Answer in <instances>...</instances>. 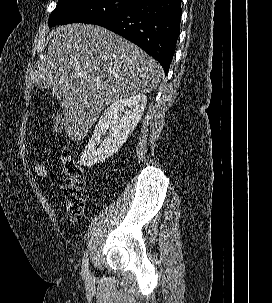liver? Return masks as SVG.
<instances>
[{"label":"liver","instance_id":"6515ba94","mask_svg":"<svg viewBox=\"0 0 272 303\" xmlns=\"http://www.w3.org/2000/svg\"><path fill=\"white\" fill-rule=\"evenodd\" d=\"M47 56L36 64L34 82L50 88L64 113V129L80 141L114 101L151 92L162 66L123 37L92 24L56 27Z\"/></svg>","mask_w":272,"mask_h":303}]
</instances>
